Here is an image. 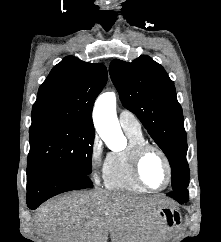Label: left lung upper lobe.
<instances>
[{"mask_svg": "<svg viewBox=\"0 0 221 242\" xmlns=\"http://www.w3.org/2000/svg\"><path fill=\"white\" fill-rule=\"evenodd\" d=\"M109 72L123 105L139 118L167 156L173 191L187 188L190 177L187 136L173 81L164 68L147 55L131 63L113 60Z\"/></svg>", "mask_w": 221, "mask_h": 242, "instance_id": "obj_1", "label": "left lung upper lobe"}]
</instances>
